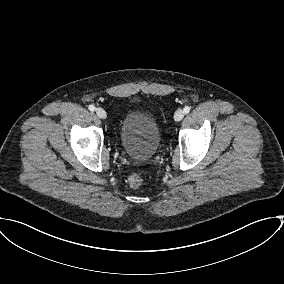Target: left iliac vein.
Wrapping results in <instances>:
<instances>
[{
    "label": "left iliac vein",
    "instance_id": "4c4485c4",
    "mask_svg": "<svg viewBox=\"0 0 284 284\" xmlns=\"http://www.w3.org/2000/svg\"><path fill=\"white\" fill-rule=\"evenodd\" d=\"M183 117H184V111L181 109L177 110L174 114V119L177 122L181 121Z\"/></svg>",
    "mask_w": 284,
    "mask_h": 284
}]
</instances>
